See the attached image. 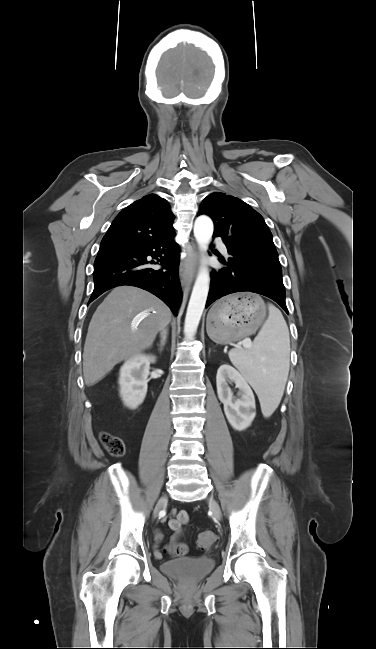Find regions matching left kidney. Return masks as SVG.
I'll return each mask as SVG.
<instances>
[{"instance_id":"5707ae66","label":"left kidney","mask_w":376,"mask_h":649,"mask_svg":"<svg viewBox=\"0 0 376 649\" xmlns=\"http://www.w3.org/2000/svg\"><path fill=\"white\" fill-rule=\"evenodd\" d=\"M235 383L239 389L238 397L228 384ZM217 394L224 405V412L229 423L235 430L249 427L256 415L255 398L252 389L245 378L230 365H222L216 376Z\"/></svg>"}]
</instances>
